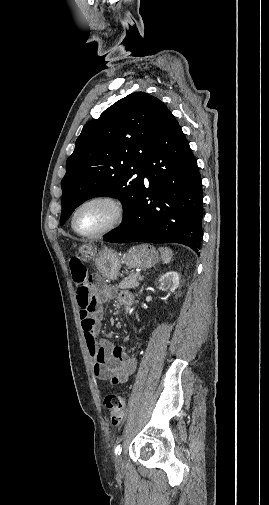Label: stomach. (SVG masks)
Wrapping results in <instances>:
<instances>
[{
  "mask_svg": "<svg viewBox=\"0 0 269 505\" xmlns=\"http://www.w3.org/2000/svg\"><path fill=\"white\" fill-rule=\"evenodd\" d=\"M159 261L158 251L149 244L131 247L121 255L112 249H103L95 258V265L100 274L107 280H115L122 264L129 269L150 268Z\"/></svg>",
  "mask_w": 269,
  "mask_h": 505,
  "instance_id": "obj_1",
  "label": "stomach"
}]
</instances>
